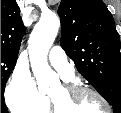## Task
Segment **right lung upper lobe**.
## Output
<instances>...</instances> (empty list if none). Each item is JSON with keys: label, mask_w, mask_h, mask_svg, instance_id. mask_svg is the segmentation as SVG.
<instances>
[{"label": "right lung upper lobe", "mask_w": 121, "mask_h": 113, "mask_svg": "<svg viewBox=\"0 0 121 113\" xmlns=\"http://www.w3.org/2000/svg\"><path fill=\"white\" fill-rule=\"evenodd\" d=\"M25 27L15 0H1V53L17 56Z\"/></svg>", "instance_id": "cb5924a9"}]
</instances>
